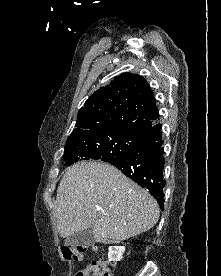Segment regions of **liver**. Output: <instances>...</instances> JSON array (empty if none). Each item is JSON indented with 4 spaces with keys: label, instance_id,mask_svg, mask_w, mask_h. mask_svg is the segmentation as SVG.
Returning a JSON list of instances; mask_svg holds the SVG:
<instances>
[{
    "label": "liver",
    "instance_id": "obj_1",
    "mask_svg": "<svg viewBox=\"0 0 221 276\" xmlns=\"http://www.w3.org/2000/svg\"><path fill=\"white\" fill-rule=\"evenodd\" d=\"M55 214L62 238L91 229L96 242L114 244L154 227L159 207L147 190L117 168L89 161L66 169Z\"/></svg>",
    "mask_w": 221,
    "mask_h": 276
}]
</instances>
